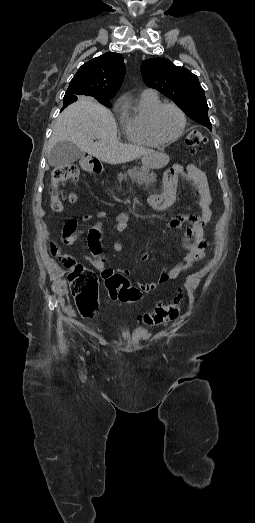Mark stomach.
I'll return each instance as SVG.
<instances>
[{
    "instance_id": "0dacf381",
    "label": "stomach",
    "mask_w": 255,
    "mask_h": 523,
    "mask_svg": "<svg viewBox=\"0 0 255 523\" xmlns=\"http://www.w3.org/2000/svg\"><path fill=\"white\" fill-rule=\"evenodd\" d=\"M168 165L169 158L166 151L148 152L143 160L144 168H151V170H159L160 167H167Z\"/></svg>"
}]
</instances>
